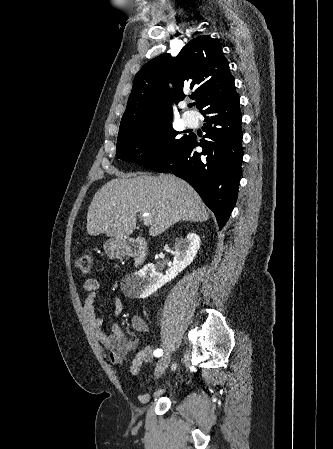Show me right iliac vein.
Listing matches in <instances>:
<instances>
[{"instance_id": "obj_1", "label": "right iliac vein", "mask_w": 333, "mask_h": 449, "mask_svg": "<svg viewBox=\"0 0 333 449\" xmlns=\"http://www.w3.org/2000/svg\"><path fill=\"white\" fill-rule=\"evenodd\" d=\"M170 363V355L166 354L163 357H161L157 363V367L155 370V377H160L164 371L166 370L168 364Z\"/></svg>"}]
</instances>
